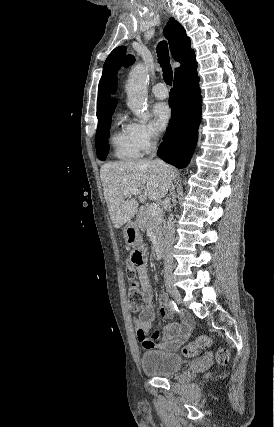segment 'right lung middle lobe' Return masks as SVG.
I'll return each mask as SVG.
<instances>
[{"instance_id": "right-lung-middle-lobe-1", "label": "right lung middle lobe", "mask_w": 274, "mask_h": 427, "mask_svg": "<svg viewBox=\"0 0 274 427\" xmlns=\"http://www.w3.org/2000/svg\"><path fill=\"white\" fill-rule=\"evenodd\" d=\"M115 106L97 113L98 127L96 132V151L100 160H105L108 151V138L110 132V119L115 110Z\"/></svg>"}]
</instances>
